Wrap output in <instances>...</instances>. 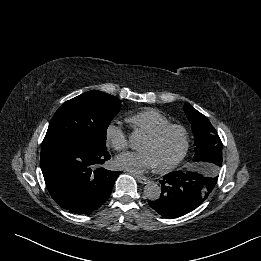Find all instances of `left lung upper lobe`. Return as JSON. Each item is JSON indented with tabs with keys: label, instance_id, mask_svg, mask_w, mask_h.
I'll list each match as a JSON object with an SVG mask.
<instances>
[{
	"label": "left lung upper lobe",
	"instance_id": "left-lung-upper-lobe-1",
	"mask_svg": "<svg viewBox=\"0 0 261 261\" xmlns=\"http://www.w3.org/2000/svg\"><path fill=\"white\" fill-rule=\"evenodd\" d=\"M183 109L195 136L193 161L218 170L222 165V142L216 130L207 117L190 104H185Z\"/></svg>",
	"mask_w": 261,
	"mask_h": 261
}]
</instances>
